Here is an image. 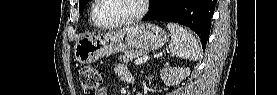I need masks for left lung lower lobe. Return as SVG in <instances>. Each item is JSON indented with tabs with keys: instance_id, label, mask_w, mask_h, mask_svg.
<instances>
[{
	"instance_id": "0a47b994",
	"label": "left lung lower lobe",
	"mask_w": 277,
	"mask_h": 95,
	"mask_svg": "<svg viewBox=\"0 0 277 95\" xmlns=\"http://www.w3.org/2000/svg\"><path fill=\"white\" fill-rule=\"evenodd\" d=\"M216 0H153L151 9L142 19L176 22L195 31L203 50L210 34V20Z\"/></svg>"
}]
</instances>
